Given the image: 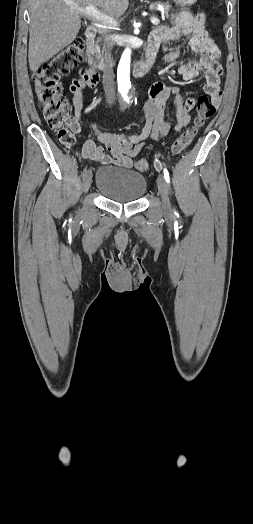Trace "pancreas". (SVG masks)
Listing matches in <instances>:
<instances>
[{
	"label": "pancreas",
	"instance_id": "pancreas-1",
	"mask_svg": "<svg viewBox=\"0 0 253 524\" xmlns=\"http://www.w3.org/2000/svg\"><path fill=\"white\" fill-rule=\"evenodd\" d=\"M161 7L163 9V14L168 18L171 16L172 18L175 17L173 13L170 14L171 5L169 3H163V2H155L150 5V10H157L158 7Z\"/></svg>",
	"mask_w": 253,
	"mask_h": 524
}]
</instances>
